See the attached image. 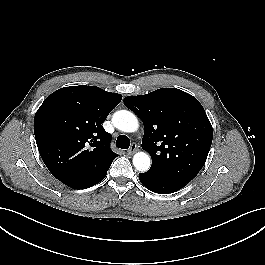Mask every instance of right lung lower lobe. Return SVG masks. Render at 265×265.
I'll return each instance as SVG.
<instances>
[{"label":"right lung lower lobe","instance_id":"1","mask_svg":"<svg viewBox=\"0 0 265 265\" xmlns=\"http://www.w3.org/2000/svg\"><path fill=\"white\" fill-rule=\"evenodd\" d=\"M106 174H107V170L97 176L88 178L86 180L74 182V183L68 184L67 186L74 188V189H86L102 181L105 178Z\"/></svg>","mask_w":265,"mask_h":265}]
</instances>
